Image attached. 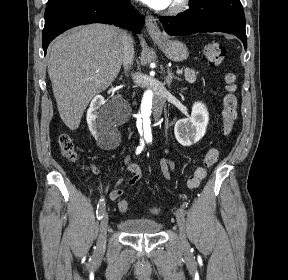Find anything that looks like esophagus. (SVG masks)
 Segmentation results:
<instances>
[{
	"instance_id": "esophagus-1",
	"label": "esophagus",
	"mask_w": 288,
	"mask_h": 280,
	"mask_svg": "<svg viewBox=\"0 0 288 280\" xmlns=\"http://www.w3.org/2000/svg\"><path fill=\"white\" fill-rule=\"evenodd\" d=\"M145 25L151 38L158 39L162 37V32L154 16L147 14L145 17Z\"/></svg>"
}]
</instances>
